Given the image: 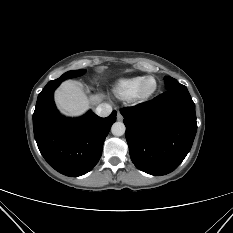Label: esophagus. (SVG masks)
I'll use <instances>...</instances> for the list:
<instances>
[{
  "label": "esophagus",
  "mask_w": 233,
  "mask_h": 233,
  "mask_svg": "<svg viewBox=\"0 0 233 233\" xmlns=\"http://www.w3.org/2000/svg\"><path fill=\"white\" fill-rule=\"evenodd\" d=\"M117 120L118 121H122L123 120V116H122V114L119 111L117 112Z\"/></svg>",
  "instance_id": "34e87169"
}]
</instances>
